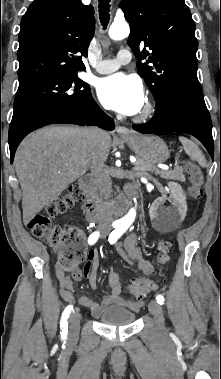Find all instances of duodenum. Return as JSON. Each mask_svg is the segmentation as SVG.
<instances>
[{
  "label": "duodenum",
  "mask_w": 221,
  "mask_h": 379,
  "mask_svg": "<svg viewBox=\"0 0 221 379\" xmlns=\"http://www.w3.org/2000/svg\"><path fill=\"white\" fill-rule=\"evenodd\" d=\"M80 186L87 193V199L84 202V212L86 219L91 222H100L106 216L114 215L119 216L126 212L130 206V197L135 194L134 188H128L127 195L118 197L110 205L99 203L92 189V178L84 176L80 180Z\"/></svg>",
  "instance_id": "obj_1"
}]
</instances>
